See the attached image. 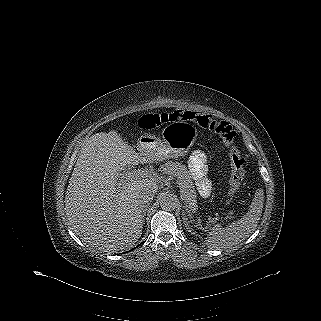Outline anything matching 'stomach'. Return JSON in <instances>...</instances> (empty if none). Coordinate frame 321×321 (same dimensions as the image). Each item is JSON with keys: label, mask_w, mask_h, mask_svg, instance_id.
<instances>
[{"label": "stomach", "mask_w": 321, "mask_h": 321, "mask_svg": "<svg viewBox=\"0 0 321 321\" xmlns=\"http://www.w3.org/2000/svg\"><path fill=\"white\" fill-rule=\"evenodd\" d=\"M162 139L143 135L138 139L140 150L150 152L158 158H178L184 156L197 138L196 128L188 122L176 121L162 130Z\"/></svg>", "instance_id": "stomach-1"}]
</instances>
